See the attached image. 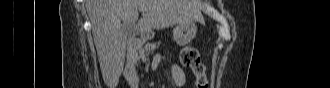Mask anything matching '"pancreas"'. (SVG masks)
<instances>
[{
    "label": "pancreas",
    "mask_w": 330,
    "mask_h": 88,
    "mask_svg": "<svg viewBox=\"0 0 330 88\" xmlns=\"http://www.w3.org/2000/svg\"><path fill=\"white\" fill-rule=\"evenodd\" d=\"M160 43H158L159 45ZM157 44L156 43H148L146 44L145 48L141 50L140 52V58H143L144 60H148L147 55L150 53H153L154 50L156 49Z\"/></svg>",
    "instance_id": "1"
}]
</instances>
